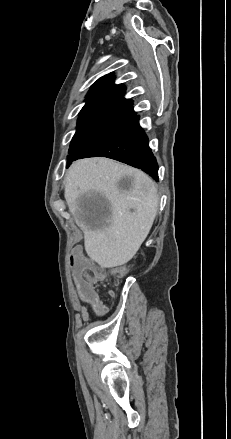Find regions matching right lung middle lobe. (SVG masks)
<instances>
[{
  "label": "right lung middle lobe",
  "mask_w": 231,
  "mask_h": 439,
  "mask_svg": "<svg viewBox=\"0 0 231 439\" xmlns=\"http://www.w3.org/2000/svg\"><path fill=\"white\" fill-rule=\"evenodd\" d=\"M122 122L124 121L121 119L109 117H79L78 128L69 148L67 167L105 138Z\"/></svg>",
  "instance_id": "right-lung-middle-lobe-1"
}]
</instances>
